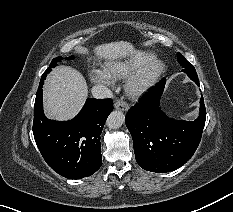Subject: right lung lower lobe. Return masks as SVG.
Wrapping results in <instances>:
<instances>
[{
  "label": "right lung lower lobe",
  "instance_id": "right-lung-lower-lobe-1",
  "mask_svg": "<svg viewBox=\"0 0 233 212\" xmlns=\"http://www.w3.org/2000/svg\"><path fill=\"white\" fill-rule=\"evenodd\" d=\"M42 75L34 105L33 134L46 163L58 174L80 179L95 173L102 164L100 134L113 110L111 99L89 98L72 120L47 119L43 112Z\"/></svg>",
  "mask_w": 233,
  "mask_h": 212
}]
</instances>
